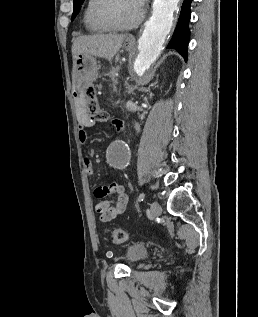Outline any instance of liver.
Instances as JSON below:
<instances>
[{
  "mask_svg": "<svg viewBox=\"0 0 258 317\" xmlns=\"http://www.w3.org/2000/svg\"><path fill=\"white\" fill-rule=\"evenodd\" d=\"M125 38H128V34H116V32H109V34L95 32V34L77 36L72 44L73 64L77 54H84V52L112 60Z\"/></svg>",
  "mask_w": 258,
  "mask_h": 317,
  "instance_id": "6515ba94",
  "label": "liver"
}]
</instances>
